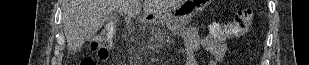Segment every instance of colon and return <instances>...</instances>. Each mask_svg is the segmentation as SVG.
Wrapping results in <instances>:
<instances>
[{
	"label": "colon",
	"mask_w": 309,
	"mask_h": 65,
	"mask_svg": "<svg viewBox=\"0 0 309 65\" xmlns=\"http://www.w3.org/2000/svg\"><path fill=\"white\" fill-rule=\"evenodd\" d=\"M254 12L252 9L239 10L231 23H212L208 26L209 35L219 41L237 39L243 36L252 26ZM117 28L114 24H108L100 36L90 44L93 56L85 57L80 65H96L98 61H105L109 57L110 50L114 45Z\"/></svg>",
	"instance_id": "obj_1"
}]
</instances>
